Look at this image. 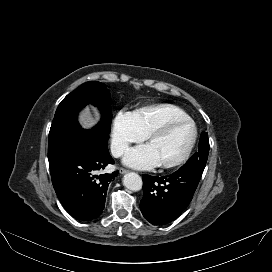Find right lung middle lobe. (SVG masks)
<instances>
[{
    "label": "right lung middle lobe",
    "mask_w": 272,
    "mask_h": 272,
    "mask_svg": "<svg viewBox=\"0 0 272 272\" xmlns=\"http://www.w3.org/2000/svg\"><path fill=\"white\" fill-rule=\"evenodd\" d=\"M93 104L102 113L101 121L91 130L80 127L79 111L86 104ZM110 93L106 86L97 81L86 82L68 94L59 104L48 139V160L55 158L82 131H89L103 140H108L112 121Z\"/></svg>",
    "instance_id": "obj_1"
}]
</instances>
